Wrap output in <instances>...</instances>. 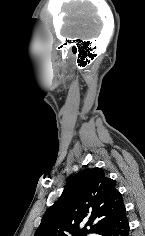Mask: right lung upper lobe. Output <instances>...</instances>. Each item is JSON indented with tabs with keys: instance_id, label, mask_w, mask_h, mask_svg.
I'll list each match as a JSON object with an SVG mask.
<instances>
[{
	"instance_id": "obj_1",
	"label": "right lung upper lobe",
	"mask_w": 145,
	"mask_h": 236,
	"mask_svg": "<svg viewBox=\"0 0 145 236\" xmlns=\"http://www.w3.org/2000/svg\"><path fill=\"white\" fill-rule=\"evenodd\" d=\"M124 207L115 182L101 168L83 170L66 185L61 197L44 214L34 236H86ZM80 229L81 222L87 220Z\"/></svg>"
}]
</instances>
